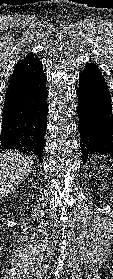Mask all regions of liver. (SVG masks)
<instances>
[{"label":"liver","mask_w":113,"mask_h":279,"mask_svg":"<svg viewBox=\"0 0 113 279\" xmlns=\"http://www.w3.org/2000/svg\"><path fill=\"white\" fill-rule=\"evenodd\" d=\"M34 160L33 156L24 155L18 150L0 153L1 200L13 192L28 177Z\"/></svg>","instance_id":"liver-1"}]
</instances>
